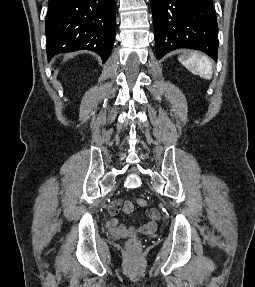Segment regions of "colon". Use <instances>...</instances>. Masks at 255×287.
Masks as SVG:
<instances>
[{"mask_svg": "<svg viewBox=\"0 0 255 287\" xmlns=\"http://www.w3.org/2000/svg\"><path fill=\"white\" fill-rule=\"evenodd\" d=\"M137 203L139 206H142V207L146 206V204H147L146 200L143 198L137 199ZM128 245L131 248H136L138 245V240L136 238H131L128 242Z\"/></svg>", "mask_w": 255, "mask_h": 287, "instance_id": "1", "label": "colon"}]
</instances>
